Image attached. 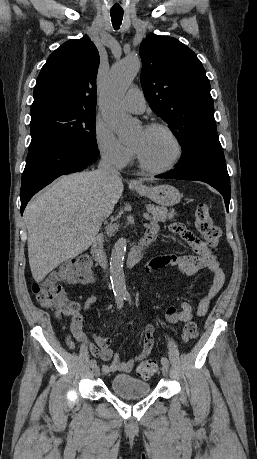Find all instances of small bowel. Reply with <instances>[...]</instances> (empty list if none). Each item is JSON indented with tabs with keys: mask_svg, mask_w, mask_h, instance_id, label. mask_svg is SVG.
I'll return each mask as SVG.
<instances>
[{
	"mask_svg": "<svg viewBox=\"0 0 257 459\" xmlns=\"http://www.w3.org/2000/svg\"><path fill=\"white\" fill-rule=\"evenodd\" d=\"M169 229L171 233L181 238L192 249L193 253L181 256L163 255L155 257L148 263L147 271L154 272L165 267H176L182 274L192 276L201 270H209L213 275V282L208 292L200 300L196 310L198 316H203L206 314L211 300L218 294L225 283L224 272L207 244L200 240L191 229L178 222L172 223ZM148 230H153L157 233L159 225L151 223ZM96 301L97 296L92 295L85 301L83 306L76 303L77 313L72 317L67 344L70 348H74L73 338H75L77 341L84 343L93 356L105 362H110L102 367L105 375L117 371L129 373L137 362L144 360L151 353L154 346L155 327L154 325H148L145 328L141 352L135 358L122 361L120 353H113L110 348L111 340L109 338L94 335L93 342H90L83 331V313L88 311ZM193 314L194 307L189 302H181L178 306L171 305L165 311V317L171 324L190 322Z\"/></svg>",
	"mask_w": 257,
	"mask_h": 459,
	"instance_id": "obj_1",
	"label": "small bowel"
}]
</instances>
